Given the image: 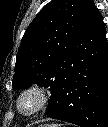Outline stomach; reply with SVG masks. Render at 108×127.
<instances>
[{"mask_svg":"<svg viewBox=\"0 0 108 127\" xmlns=\"http://www.w3.org/2000/svg\"><path fill=\"white\" fill-rule=\"evenodd\" d=\"M41 127H58V125H43Z\"/></svg>","mask_w":108,"mask_h":127,"instance_id":"stomach-1","label":"stomach"}]
</instances>
